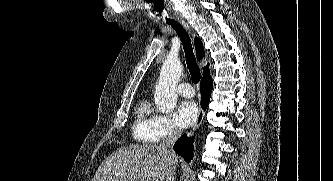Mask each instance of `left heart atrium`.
<instances>
[{"label":"left heart atrium","instance_id":"obj_1","mask_svg":"<svg viewBox=\"0 0 333 181\" xmlns=\"http://www.w3.org/2000/svg\"><path fill=\"white\" fill-rule=\"evenodd\" d=\"M198 117V107L194 101L186 100L178 104L174 113L176 123L183 128L191 126Z\"/></svg>","mask_w":333,"mask_h":181}]
</instances>
